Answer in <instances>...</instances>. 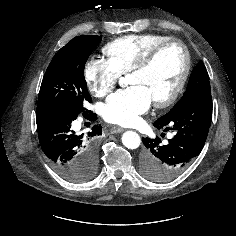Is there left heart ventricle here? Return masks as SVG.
<instances>
[{"label":"left heart ventricle","instance_id":"obj_1","mask_svg":"<svg viewBox=\"0 0 236 236\" xmlns=\"http://www.w3.org/2000/svg\"><path fill=\"white\" fill-rule=\"evenodd\" d=\"M184 66V55L178 45L166 47L146 70L128 76L131 85L146 88L153 101L168 96L175 87Z\"/></svg>","mask_w":236,"mask_h":236}]
</instances>
